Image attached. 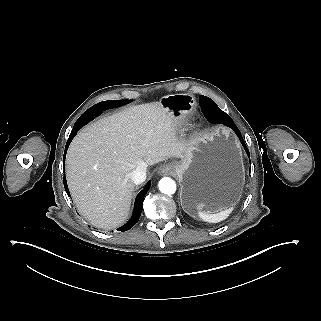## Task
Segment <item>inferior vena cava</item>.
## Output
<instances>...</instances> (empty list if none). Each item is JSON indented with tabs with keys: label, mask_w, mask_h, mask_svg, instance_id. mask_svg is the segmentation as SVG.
Returning a JSON list of instances; mask_svg holds the SVG:
<instances>
[{
	"label": "inferior vena cava",
	"mask_w": 321,
	"mask_h": 321,
	"mask_svg": "<svg viewBox=\"0 0 321 321\" xmlns=\"http://www.w3.org/2000/svg\"><path fill=\"white\" fill-rule=\"evenodd\" d=\"M147 166L135 168L130 173V178L135 184H140L146 179Z\"/></svg>",
	"instance_id": "inferior-vena-cava-1"
}]
</instances>
